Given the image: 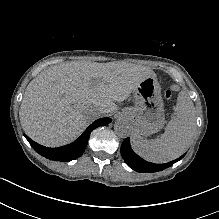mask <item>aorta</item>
Segmentation results:
<instances>
[{
	"instance_id": "obj_1",
	"label": "aorta",
	"mask_w": 219,
	"mask_h": 219,
	"mask_svg": "<svg viewBox=\"0 0 219 219\" xmlns=\"http://www.w3.org/2000/svg\"><path fill=\"white\" fill-rule=\"evenodd\" d=\"M114 131L117 136L127 138L132 132L131 124L126 119H118L114 124Z\"/></svg>"
}]
</instances>
